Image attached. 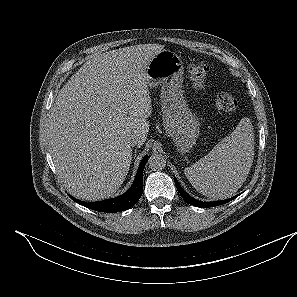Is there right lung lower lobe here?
<instances>
[{
    "label": "right lung lower lobe",
    "mask_w": 297,
    "mask_h": 297,
    "mask_svg": "<svg viewBox=\"0 0 297 297\" xmlns=\"http://www.w3.org/2000/svg\"><path fill=\"white\" fill-rule=\"evenodd\" d=\"M147 160H148V156L146 155L142 159L139 165V168L132 186L129 188V190L126 193H124L119 197L100 201V202H83L73 198L70 195L69 197L82 206H85L89 209L100 211V212H120V211L127 210L132 206H134L142 195L143 170Z\"/></svg>",
    "instance_id": "98d812e1"
}]
</instances>
